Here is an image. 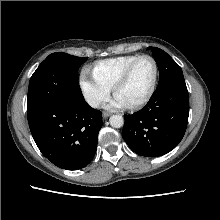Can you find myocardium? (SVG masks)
Listing matches in <instances>:
<instances>
[{
  "mask_svg": "<svg viewBox=\"0 0 220 220\" xmlns=\"http://www.w3.org/2000/svg\"><path fill=\"white\" fill-rule=\"evenodd\" d=\"M142 59H149L152 61L153 65H154V78H153L152 86H151L148 94L139 102H137L133 105L127 106L130 109H139V108L143 107L152 99L153 95L155 94L157 84H158V79H159V66H158V63L155 60V58L153 56L147 55V54L138 56L134 61H132L128 65V67L125 69V71L122 73V75L118 78V80L115 82V84L113 86V93H114V95H116V92L118 91V89L128 81L135 66Z\"/></svg>",
  "mask_w": 220,
  "mask_h": 220,
  "instance_id": "1",
  "label": "myocardium"
}]
</instances>
